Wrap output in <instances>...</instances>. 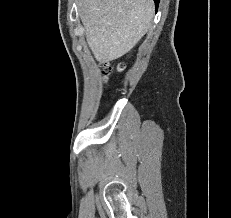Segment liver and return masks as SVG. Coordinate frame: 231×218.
<instances>
[{"label":"liver","mask_w":231,"mask_h":218,"mask_svg":"<svg viewBox=\"0 0 231 218\" xmlns=\"http://www.w3.org/2000/svg\"><path fill=\"white\" fill-rule=\"evenodd\" d=\"M87 43L100 62L128 53L146 34L153 0H78Z\"/></svg>","instance_id":"1"}]
</instances>
